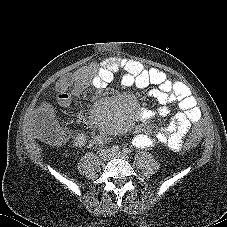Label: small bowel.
<instances>
[{"mask_svg": "<svg viewBox=\"0 0 227 227\" xmlns=\"http://www.w3.org/2000/svg\"><path fill=\"white\" fill-rule=\"evenodd\" d=\"M119 71H124L121 78L123 86L137 88L155 86L149 91V95L158 101L161 107L157 112L142 110L140 120L149 121L156 114L167 116L170 104H178L179 107L172 121L160 129L153 126L140 127L133 136V144L138 148H150L160 143L168 150L178 152L191 126L200 120L201 112L190 89L183 82L171 80L159 69L145 68L142 63L128 58L115 56L105 58L99 63L89 64L62 77L56 83V89L61 96L60 105H69L73 96H79L87 88L104 89ZM40 110L43 114L52 115L48 105H43ZM79 119L83 123L89 122L86 115H81Z\"/></svg>", "mask_w": 227, "mask_h": 227, "instance_id": "c3829d8e", "label": "small bowel"}]
</instances>
